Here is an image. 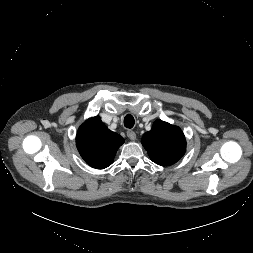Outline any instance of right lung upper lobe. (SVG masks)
I'll use <instances>...</instances> for the list:
<instances>
[{
    "label": "right lung upper lobe",
    "instance_id": "cb5924a9",
    "mask_svg": "<svg viewBox=\"0 0 253 253\" xmlns=\"http://www.w3.org/2000/svg\"><path fill=\"white\" fill-rule=\"evenodd\" d=\"M124 139L110 131L99 116L88 119L80 126L76 145L81 157L93 168L104 169L113 162Z\"/></svg>",
    "mask_w": 253,
    "mask_h": 253
}]
</instances>
